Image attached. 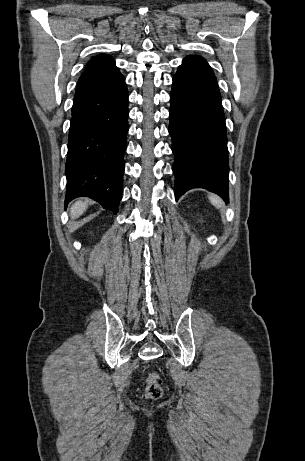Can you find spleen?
Segmentation results:
<instances>
[{
    "label": "spleen",
    "instance_id": "3e777b00",
    "mask_svg": "<svg viewBox=\"0 0 305 461\" xmlns=\"http://www.w3.org/2000/svg\"><path fill=\"white\" fill-rule=\"evenodd\" d=\"M209 200L211 202L212 205H214L215 207L217 208H220L223 204L221 198H219L218 196L216 195H209Z\"/></svg>",
    "mask_w": 305,
    "mask_h": 461
}]
</instances>
